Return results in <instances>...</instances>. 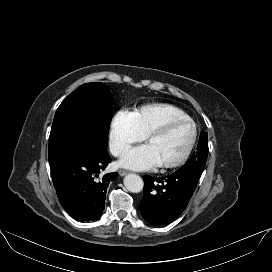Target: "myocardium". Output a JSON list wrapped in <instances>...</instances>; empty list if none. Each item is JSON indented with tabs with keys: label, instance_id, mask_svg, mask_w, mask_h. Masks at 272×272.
Listing matches in <instances>:
<instances>
[{
	"label": "myocardium",
	"instance_id": "f54148a6",
	"mask_svg": "<svg viewBox=\"0 0 272 272\" xmlns=\"http://www.w3.org/2000/svg\"><path fill=\"white\" fill-rule=\"evenodd\" d=\"M184 123L191 125L192 130H193L192 139H191V142H190L187 150L176 161L171 162V163H161V164H159V166L161 168H164V169L178 168V167L182 166L183 164H185L188 161V159L190 158V156H191V154H192V152H193V150L195 148L196 142H197V138H198L197 125L190 117L189 118H177V119H172V120H169V121L161 124L160 126L152 129L150 132H148L145 135V140L148 142L153 137L163 135V134L167 133L173 127H175V126H177L179 124H184Z\"/></svg>",
	"mask_w": 272,
	"mask_h": 272
}]
</instances>
